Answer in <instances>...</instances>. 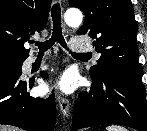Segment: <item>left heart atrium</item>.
Listing matches in <instances>:
<instances>
[{"mask_svg": "<svg viewBox=\"0 0 147 131\" xmlns=\"http://www.w3.org/2000/svg\"><path fill=\"white\" fill-rule=\"evenodd\" d=\"M77 86V77L73 72L63 73L53 84L52 88L63 93H72Z\"/></svg>", "mask_w": 147, "mask_h": 131, "instance_id": "left-heart-atrium-1", "label": "left heart atrium"}]
</instances>
